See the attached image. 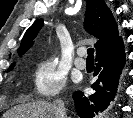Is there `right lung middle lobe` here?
<instances>
[{"instance_id":"dd1d6c3e","label":"right lung middle lobe","mask_w":133,"mask_h":118,"mask_svg":"<svg viewBox=\"0 0 133 118\" xmlns=\"http://www.w3.org/2000/svg\"><path fill=\"white\" fill-rule=\"evenodd\" d=\"M13 67H14V66L10 67V68L8 69V71L12 70V69H13Z\"/></svg>"}]
</instances>
